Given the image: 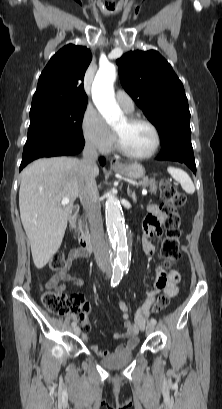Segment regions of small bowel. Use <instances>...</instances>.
<instances>
[{"mask_svg": "<svg viewBox=\"0 0 222 409\" xmlns=\"http://www.w3.org/2000/svg\"><path fill=\"white\" fill-rule=\"evenodd\" d=\"M147 216L144 220L142 231V247L146 255L152 256L155 253L153 239L161 235L164 215L159 205L150 203L147 205ZM87 255L80 248H72L69 251L65 262V268L52 275L45 283L48 289H55L63 292L67 284L81 285L82 280L72 276L69 269L72 264L79 259H85ZM180 275L177 271H165L162 267L157 268V278L153 289L144 293L141 304L137 308L134 321L129 315V305L123 301H118V308L121 311L123 320V330L113 334L114 339H126V343L119 346L116 351H123L134 348L138 343V334L144 329L149 316L151 315L152 304L157 301L158 295L163 293L169 297H175L179 293L178 284ZM84 339L87 337L84 335ZM92 351L100 356H109L111 351L92 346Z\"/></svg>", "mask_w": 222, "mask_h": 409, "instance_id": "c3829d8e", "label": "small bowel"}]
</instances>
